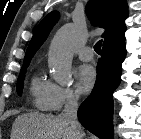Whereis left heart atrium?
I'll use <instances>...</instances> for the list:
<instances>
[{"label":"left heart atrium","mask_w":141,"mask_h":139,"mask_svg":"<svg viewBox=\"0 0 141 139\" xmlns=\"http://www.w3.org/2000/svg\"><path fill=\"white\" fill-rule=\"evenodd\" d=\"M77 86L81 93H89L97 80V73L93 66L82 65L76 71Z\"/></svg>","instance_id":"39dd6f15"}]
</instances>
